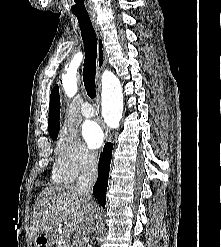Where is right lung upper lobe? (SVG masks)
Returning a JSON list of instances; mask_svg holds the SVG:
<instances>
[{"instance_id": "right-lung-upper-lobe-1", "label": "right lung upper lobe", "mask_w": 221, "mask_h": 247, "mask_svg": "<svg viewBox=\"0 0 221 247\" xmlns=\"http://www.w3.org/2000/svg\"><path fill=\"white\" fill-rule=\"evenodd\" d=\"M60 120V97L58 85L51 91L49 104L48 131L52 138L58 136Z\"/></svg>"}]
</instances>
